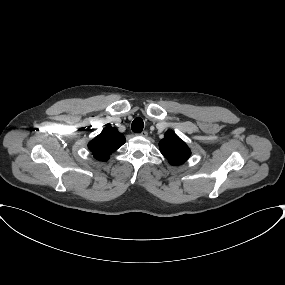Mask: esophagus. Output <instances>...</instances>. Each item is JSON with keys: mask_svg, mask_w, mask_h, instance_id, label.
<instances>
[{"mask_svg": "<svg viewBox=\"0 0 285 285\" xmlns=\"http://www.w3.org/2000/svg\"><path fill=\"white\" fill-rule=\"evenodd\" d=\"M140 136L142 137H147L148 132L147 131H142L141 133H139Z\"/></svg>", "mask_w": 285, "mask_h": 285, "instance_id": "34e87169", "label": "esophagus"}]
</instances>
